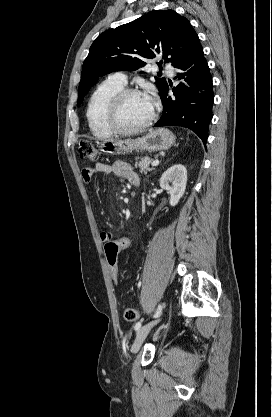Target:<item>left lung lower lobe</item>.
Here are the masks:
<instances>
[{"mask_svg":"<svg viewBox=\"0 0 272 417\" xmlns=\"http://www.w3.org/2000/svg\"><path fill=\"white\" fill-rule=\"evenodd\" d=\"M178 80L174 97H168V84L160 94L164 106L161 119L154 127L181 126L193 130L206 145L214 101L212 76L200 46L177 65Z\"/></svg>","mask_w":272,"mask_h":417,"instance_id":"obj_1","label":"left lung lower lobe"}]
</instances>
